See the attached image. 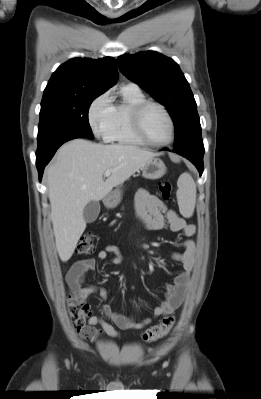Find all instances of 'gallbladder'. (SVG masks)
I'll use <instances>...</instances> for the list:
<instances>
[{"mask_svg":"<svg viewBox=\"0 0 261 399\" xmlns=\"http://www.w3.org/2000/svg\"><path fill=\"white\" fill-rule=\"evenodd\" d=\"M100 213V204L98 201H90L83 210V217L87 223L94 222Z\"/></svg>","mask_w":261,"mask_h":399,"instance_id":"obj_1","label":"gallbladder"}]
</instances>
